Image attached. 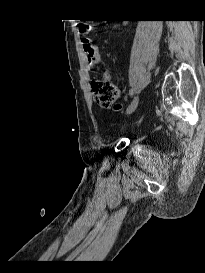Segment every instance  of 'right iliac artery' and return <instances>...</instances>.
Here are the masks:
<instances>
[{
  "mask_svg": "<svg viewBox=\"0 0 205 273\" xmlns=\"http://www.w3.org/2000/svg\"><path fill=\"white\" fill-rule=\"evenodd\" d=\"M133 94H134V93H133V90H130V95L133 96Z\"/></svg>",
  "mask_w": 205,
  "mask_h": 273,
  "instance_id": "82829eb1",
  "label": "right iliac artery"
}]
</instances>
